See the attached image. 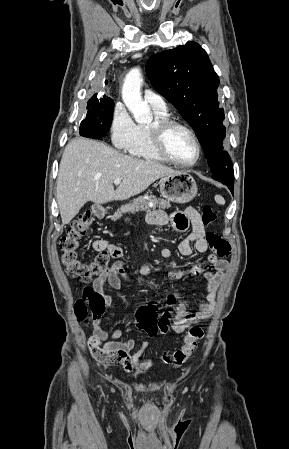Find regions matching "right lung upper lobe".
Segmentation results:
<instances>
[{"label":"right lung upper lobe","instance_id":"1","mask_svg":"<svg viewBox=\"0 0 289 449\" xmlns=\"http://www.w3.org/2000/svg\"><path fill=\"white\" fill-rule=\"evenodd\" d=\"M105 83H107V81H105ZM97 97V94H95L93 97ZM102 99H110V100H112L111 98H109L108 96H106V95H104V97L102 98Z\"/></svg>","mask_w":289,"mask_h":449}]
</instances>
